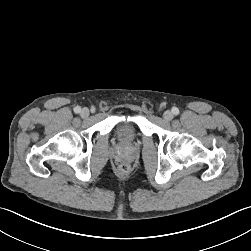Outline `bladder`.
Segmentation results:
<instances>
[{"mask_svg": "<svg viewBox=\"0 0 251 251\" xmlns=\"http://www.w3.org/2000/svg\"><path fill=\"white\" fill-rule=\"evenodd\" d=\"M134 131V124L132 122H123L118 128L119 135L122 139H129Z\"/></svg>", "mask_w": 251, "mask_h": 251, "instance_id": "obj_1", "label": "bladder"}]
</instances>
